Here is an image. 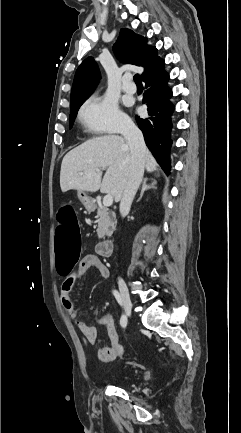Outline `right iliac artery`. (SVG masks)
<instances>
[{
    "label": "right iliac artery",
    "mask_w": 241,
    "mask_h": 433,
    "mask_svg": "<svg viewBox=\"0 0 241 433\" xmlns=\"http://www.w3.org/2000/svg\"><path fill=\"white\" fill-rule=\"evenodd\" d=\"M113 295L116 298L117 302L121 305L122 302L119 292L117 290H113ZM120 324L121 326H125L127 324V318L124 314L121 316Z\"/></svg>",
    "instance_id": "right-iliac-artery-1"
}]
</instances>
